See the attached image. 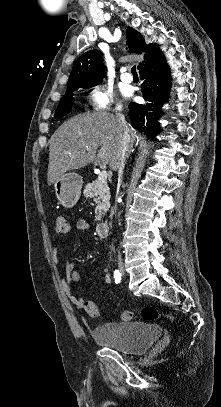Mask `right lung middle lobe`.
I'll list each match as a JSON object with an SVG mask.
<instances>
[{
  "instance_id": "dd1d6c3e",
  "label": "right lung middle lobe",
  "mask_w": 221,
  "mask_h": 407,
  "mask_svg": "<svg viewBox=\"0 0 221 407\" xmlns=\"http://www.w3.org/2000/svg\"><path fill=\"white\" fill-rule=\"evenodd\" d=\"M76 90L78 89H73L65 93L56 109L55 118L63 117L70 112L74 102V91Z\"/></svg>"
}]
</instances>
